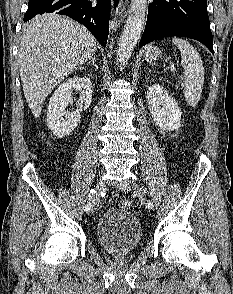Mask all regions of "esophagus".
Masks as SVG:
<instances>
[{"label": "esophagus", "instance_id": "1", "mask_svg": "<svg viewBox=\"0 0 233 294\" xmlns=\"http://www.w3.org/2000/svg\"><path fill=\"white\" fill-rule=\"evenodd\" d=\"M112 13L116 17H122L127 7V0H112Z\"/></svg>", "mask_w": 233, "mask_h": 294}]
</instances>
